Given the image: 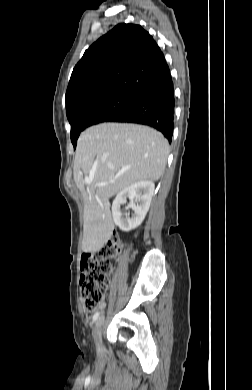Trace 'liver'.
<instances>
[{
  "label": "liver",
  "mask_w": 252,
  "mask_h": 390,
  "mask_svg": "<svg viewBox=\"0 0 252 390\" xmlns=\"http://www.w3.org/2000/svg\"><path fill=\"white\" fill-rule=\"evenodd\" d=\"M168 153V141L147 126L101 123L81 133L73 175L84 199L83 252L99 251L112 236L109 198L137 182L159 180Z\"/></svg>",
  "instance_id": "liver-1"
}]
</instances>
